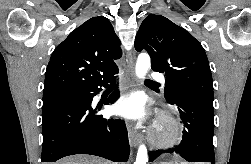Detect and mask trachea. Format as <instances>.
<instances>
[{
    "label": "trachea",
    "mask_w": 251,
    "mask_h": 164,
    "mask_svg": "<svg viewBox=\"0 0 251 164\" xmlns=\"http://www.w3.org/2000/svg\"><path fill=\"white\" fill-rule=\"evenodd\" d=\"M146 82H149V83H155L154 81L149 80V79H146Z\"/></svg>",
    "instance_id": "3493384b"
}]
</instances>
